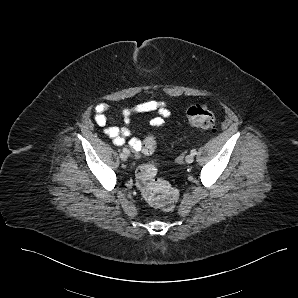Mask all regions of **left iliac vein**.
I'll list each match as a JSON object with an SVG mask.
<instances>
[{
  "label": "left iliac vein",
  "instance_id": "4c4485c4",
  "mask_svg": "<svg viewBox=\"0 0 298 298\" xmlns=\"http://www.w3.org/2000/svg\"><path fill=\"white\" fill-rule=\"evenodd\" d=\"M185 161L190 164L194 161V156L192 154H189L185 157Z\"/></svg>",
  "mask_w": 298,
  "mask_h": 298
}]
</instances>
